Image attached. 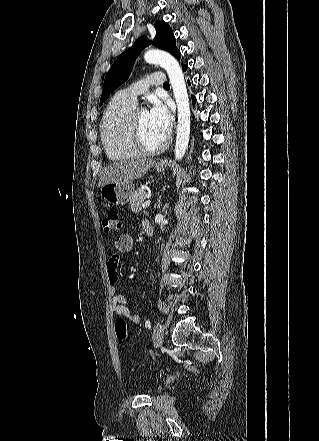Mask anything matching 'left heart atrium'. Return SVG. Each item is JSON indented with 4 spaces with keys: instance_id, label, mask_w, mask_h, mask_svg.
<instances>
[{
    "instance_id": "obj_1",
    "label": "left heart atrium",
    "mask_w": 319,
    "mask_h": 441,
    "mask_svg": "<svg viewBox=\"0 0 319 441\" xmlns=\"http://www.w3.org/2000/svg\"><path fill=\"white\" fill-rule=\"evenodd\" d=\"M147 113L156 131L161 136L167 137L172 127V116L168 107L158 100H153Z\"/></svg>"
}]
</instances>
